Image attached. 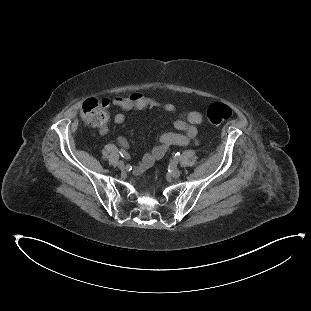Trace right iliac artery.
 Returning a JSON list of instances; mask_svg holds the SVG:
<instances>
[{"mask_svg":"<svg viewBox=\"0 0 311 311\" xmlns=\"http://www.w3.org/2000/svg\"><path fill=\"white\" fill-rule=\"evenodd\" d=\"M119 153L123 158L125 159L129 158V154L124 149H120Z\"/></svg>","mask_w":311,"mask_h":311,"instance_id":"82829eb1","label":"right iliac artery"}]
</instances>
